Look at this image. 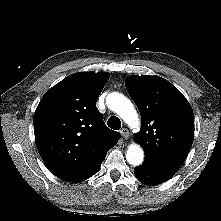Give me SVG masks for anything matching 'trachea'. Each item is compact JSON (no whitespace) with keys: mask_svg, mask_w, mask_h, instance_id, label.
<instances>
[{"mask_svg":"<svg viewBox=\"0 0 221 221\" xmlns=\"http://www.w3.org/2000/svg\"><path fill=\"white\" fill-rule=\"evenodd\" d=\"M107 125L113 130H119L121 128V121L118 117L112 116L108 119Z\"/></svg>","mask_w":221,"mask_h":221,"instance_id":"3493384b","label":"trachea"}]
</instances>
